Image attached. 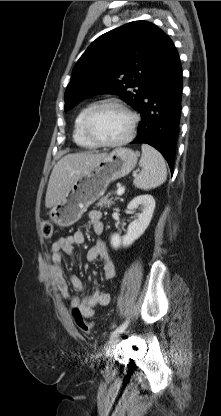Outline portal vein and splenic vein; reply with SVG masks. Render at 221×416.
Masks as SVG:
<instances>
[{
    "instance_id": "1",
    "label": "portal vein and splenic vein",
    "mask_w": 221,
    "mask_h": 416,
    "mask_svg": "<svg viewBox=\"0 0 221 416\" xmlns=\"http://www.w3.org/2000/svg\"><path fill=\"white\" fill-rule=\"evenodd\" d=\"M124 191H125L124 187H119L117 189V192L116 193H117L118 196H121V195L124 194Z\"/></svg>"
}]
</instances>
